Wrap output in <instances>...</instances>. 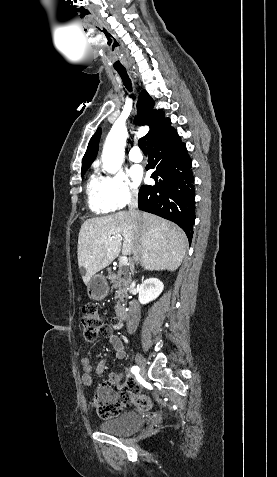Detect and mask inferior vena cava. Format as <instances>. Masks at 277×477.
<instances>
[{
	"label": "inferior vena cava",
	"instance_id": "obj_1",
	"mask_svg": "<svg viewBox=\"0 0 277 477\" xmlns=\"http://www.w3.org/2000/svg\"><path fill=\"white\" fill-rule=\"evenodd\" d=\"M129 213L132 215L134 219H138L139 217V211H138V194L137 192H132L130 195V200H129ZM140 246L137 244V249L136 252L134 253V260L135 262L139 261L140 258ZM140 321V307L136 302H132L130 309H129V314H128V319H127V331L129 334H132L136 331Z\"/></svg>",
	"mask_w": 277,
	"mask_h": 477
}]
</instances>
